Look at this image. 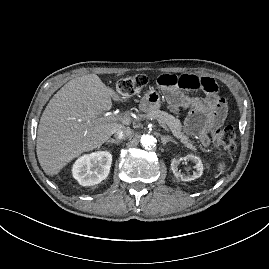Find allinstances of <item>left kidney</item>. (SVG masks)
I'll list each match as a JSON object with an SVG mask.
<instances>
[{"mask_svg":"<svg viewBox=\"0 0 269 269\" xmlns=\"http://www.w3.org/2000/svg\"><path fill=\"white\" fill-rule=\"evenodd\" d=\"M191 161L192 163L195 164V171H193L192 175H183L180 173L179 169V164L181 161ZM171 170L173 171L174 175L176 178H179L181 181H192L195 180L203 174V164L202 161L199 157L189 154L186 157L182 158H174L171 162Z\"/></svg>","mask_w":269,"mask_h":269,"instance_id":"5707ae66","label":"left kidney"}]
</instances>
